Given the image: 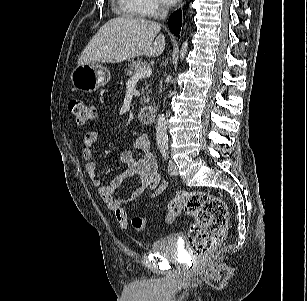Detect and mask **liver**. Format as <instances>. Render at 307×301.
Returning a JSON list of instances; mask_svg holds the SVG:
<instances>
[{
	"instance_id": "obj_1",
	"label": "liver",
	"mask_w": 307,
	"mask_h": 301,
	"mask_svg": "<svg viewBox=\"0 0 307 301\" xmlns=\"http://www.w3.org/2000/svg\"><path fill=\"white\" fill-rule=\"evenodd\" d=\"M161 25L131 16L116 17L93 36L78 59V65L98 62L120 63L141 55L157 57L165 49Z\"/></svg>"
}]
</instances>
